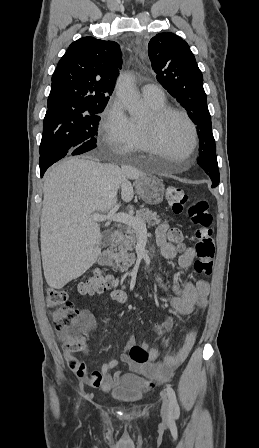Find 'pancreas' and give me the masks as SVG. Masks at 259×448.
Returning a JSON list of instances; mask_svg holds the SVG:
<instances>
[{
    "label": "pancreas",
    "instance_id": "cf45deb5",
    "mask_svg": "<svg viewBox=\"0 0 259 448\" xmlns=\"http://www.w3.org/2000/svg\"><path fill=\"white\" fill-rule=\"evenodd\" d=\"M138 220L141 222H147L149 228L150 226H157L160 224L161 220H159V216H157L156 212H151V210H136V216ZM124 240L122 244H120L118 248V252L115 254V260L117 262H121L123 270H129L130 266H132L134 262V254H129L132 252L137 238H139V232L137 230H133L131 226H128L124 232Z\"/></svg>",
    "mask_w": 259,
    "mask_h": 448
}]
</instances>
